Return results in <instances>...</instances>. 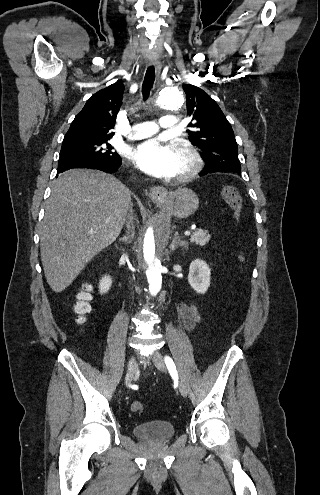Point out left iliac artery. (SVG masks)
I'll list each match as a JSON object with an SVG mask.
<instances>
[{
    "label": "left iliac artery",
    "mask_w": 320,
    "mask_h": 495,
    "mask_svg": "<svg viewBox=\"0 0 320 495\" xmlns=\"http://www.w3.org/2000/svg\"><path fill=\"white\" fill-rule=\"evenodd\" d=\"M165 363H166L168 370H169L170 374L172 375V377L177 379V377H178L177 370H176V366H175L173 360L169 356H165Z\"/></svg>",
    "instance_id": "left-iliac-artery-1"
}]
</instances>
